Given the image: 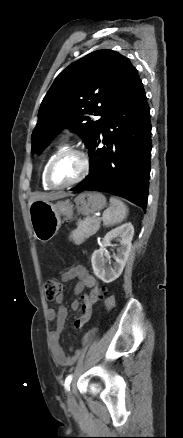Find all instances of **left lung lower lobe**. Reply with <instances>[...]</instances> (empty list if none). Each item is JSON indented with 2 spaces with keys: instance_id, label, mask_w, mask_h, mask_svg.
<instances>
[{
  "instance_id": "0a47b994",
  "label": "left lung lower lobe",
  "mask_w": 183,
  "mask_h": 438,
  "mask_svg": "<svg viewBox=\"0 0 183 438\" xmlns=\"http://www.w3.org/2000/svg\"><path fill=\"white\" fill-rule=\"evenodd\" d=\"M100 133L106 147L98 149ZM151 149L150 109L138 77L100 124L89 145L90 174L72 191L111 193L145 211Z\"/></svg>"
}]
</instances>
